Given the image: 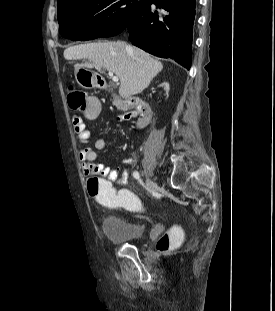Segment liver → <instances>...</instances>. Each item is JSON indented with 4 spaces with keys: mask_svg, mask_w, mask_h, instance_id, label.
<instances>
[{
    "mask_svg": "<svg viewBox=\"0 0 275 311\" xmlns=\"http://www.w3.org/2000/svg\"><path fill=\"white\" fill-rule=\"evenodd\" d=\"M67 60L86 59L75 68H104L120 79L119 94L127 99L141 93L163 69L160 61L148 53L124 42L87 43L69 47L64 51Z\"/></svg>",
    "mask_w": 275,
    "mask_h": 311,
    "instance_id": "obj_1",
    "label": "liver"
}]
</instances>
